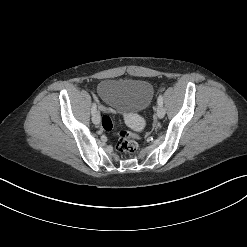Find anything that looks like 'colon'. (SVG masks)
Wrapping results in <instances>:
<instances>
[{"instance_id":"1","label":"colon","mask_w":247,"mask_h":247,"mask_svg":"<svg viewBox=\"0 0 247 247\" xmlns=\"http://www.w3.org/2000/svg\"><path fill=\"white\" fill-rule=\"evenodd\" d=\"M102 128L105 131L111 132L114 128L113 119L109 115L102 117ZM116 149L121 153H134L138 149L135 134L126 131H117Z\"/></svg>"}]
</instances>
